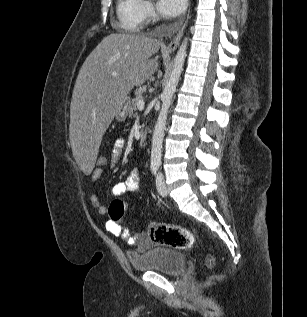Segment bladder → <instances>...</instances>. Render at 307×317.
Returning <instances> with one entry per match:
<instances>
[{"instance_id": "1", "label": "bladder", "mask_w": 307, "mask_h": 317, "mask_svg": "<svg viewBox=\"0 0 307 317\" xmlns=\"http://www.w3.org/2000/svg\"><path fill=\"white\" fill-rule=\"evenodd\" d=\"M128 260L137 272L178 275L186 266V257L183 253L165 247L149 249L141 256L128 255Z\"/></svg>"}]
</instances>
